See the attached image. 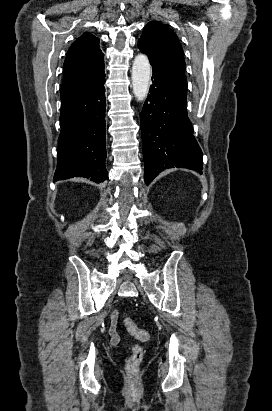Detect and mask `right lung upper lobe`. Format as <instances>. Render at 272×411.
I'll return each instance as SVG.
<instances>
[{
  "label": "right lung upper lobe",
  "instance_id": "cb5924a9",
  "mask_svg": "<svg viewBox=\"0 0 272 411\" xmlns=\"http://www.w3.org/2000/svg\"><path fill=\"white\" fill-rule=\"evenodd\" d=\"M104 55L99 39L84 33L69 48L63 65L61 99L74 96L96 86L104 77Z\"/></svg>",
  "mask_w": 272,
  "mask_h": 411
}]
</instances>
